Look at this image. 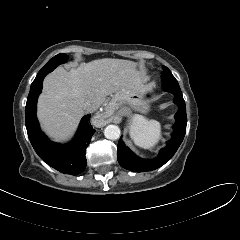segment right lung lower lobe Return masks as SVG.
I'll list each match as a JSON object with an SVG mask.
<instances>
[{"label":"right lung lower lobe","instance_id":"right-lung-lower-lobe-1","mask_svg":"<svg viewBox=\"0 0 240 240\" xmlns=\"http://www.w3.org/2000/svg\"><path fill=\"white\" fill-rule=\"evenodd\" d=\"M46 74L48 73H41L32 83L27 98L25 121L28 137L34 150L45 163L62 173L77 175L86 168L85 150L95 130L90 125V115H86L81 120L75 139L67 145L53 143L41 132L36 117V105Z\"/></svg>","mask_w":240,"mask_h":240}]
</instances>
